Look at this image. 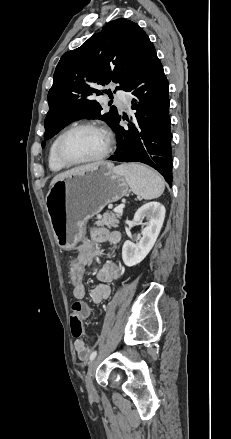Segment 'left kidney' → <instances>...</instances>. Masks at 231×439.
Returning a JSON list of instances; mask_svg holds the SVG:
<instances>
[{"instance_id":"5707ae66","label":"left kidney","mask_w":231,"mask_h":439,"mask_svg":"<svg viewBox=\"0 0 231 439\" xmlns=\"http://www.w3.org/2000/svg\"><path fill=\"white\" fill-rule=\"evenodd\" d=\"M144 218L147 222L142 228L139 243L134 244L127 240L122 248V259L128 267L139 264L153 248L164 222L165 207L155 201L144 204L137 210L133 220L137 225H141Z\"/></svg>"}]
</instances>
